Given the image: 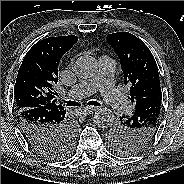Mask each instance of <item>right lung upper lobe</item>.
<instances>
[{
    "label": "right lung upper lobe",
    "mask_w": 184,
    "mask_h": 184,
    "mask_svg": "<svg viewBox=\"0 0 184 184\" xmlns=\"http://www.w3.org/2000/svg\"><path fill=\"white\" fill-rule=\"evenodd\" d=\"M78 41L75 35L49 37L37 42L25 55L15 84L17 112L31 108H62L54 99L61 57Z\"/></svg>",
    "instance_id": "obj_1"
}]
</instances>
